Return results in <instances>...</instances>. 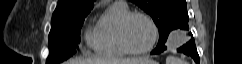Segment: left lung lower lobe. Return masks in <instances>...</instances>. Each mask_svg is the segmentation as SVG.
<instances>
[{
    "label": "left lung lower lobe",
    "mask_w": 242,
    "mask_h": 64,
    "mask_svg": "<svg viewBox=\"0 0 242 64\" xmlns=\"http://www.w3.org/2000/svg\"><path fill=\"white\" fill-rule=\"evenodd\" d=\"M181 29L183 30H189L188 26H184ZM167 49V47L165 45H161V46H157L152 52L151 54H160L163 51H165ZM178 52L184 53L188 56H191L194 61L199 64V55L195 46V41L192 38L189 42H187L186 44H184L182 47L177 49Z\"/></svg>",
    "instance_id": "0a47b994"
}]
</instances>
